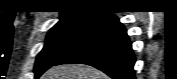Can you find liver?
<instances>
[{"mask_svg":"<svg viewBox=\"0 0 177 79\" xmlns=\"http://www.w3.org/2000/svg\"><path fill=\"white\" fill-rule=\"evenodd\" d=\"M41 79H108L101 71L83 64L54 66Z\"/></svg>","mask_w":177,"mask_h":79,"instance_id":"liver-1","label":"liver"}]
</instances>
